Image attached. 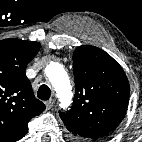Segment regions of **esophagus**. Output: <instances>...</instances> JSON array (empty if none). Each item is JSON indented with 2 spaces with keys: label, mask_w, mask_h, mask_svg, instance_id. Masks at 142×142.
<instances>
[{
  "label": "esophagus",
  "mask_w": 142,
  "mask_h": 142,
  "mask_svg": "<svg viewBox=\"0 0 142 142\" xmlns=\"http://www.w3.org/2000/svg\"><path fill=\"white\" fill-rule=\"evenodd\" d=\"M54 105V100L53 99H50L48 101L45 102V106H46V109L47 110H50Z\"/></svg>",
  "instance_id": "34e87169"
}]
</instances>
